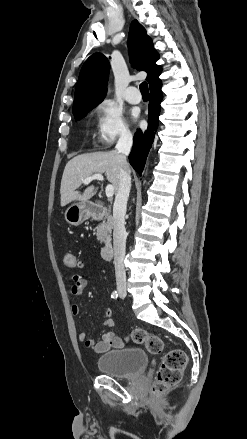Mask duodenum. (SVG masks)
Masks as SVG:
<instances>
[{
	"mask_svg": "<svg viewBox=\"0 0 247 439\" xmlns=\"http://www.w3.org/2000/svg\"><path fill=\"white\" fill-rule=\"evenodd\" d=\"M87 212L89 213V215L93 218H100L103 213H104V207L100 204L97 203H91L89 204L87 207ZM101 256L103 259L105 260H109L112 258L113 256V245L112 243L108 242L105 243L102 247H101Z\"/></svg>",
	"mask_w": 247,
	"mask_h": 439,
	"instance_id": "1",
	"label": "duodenum"
}]
</instances>
